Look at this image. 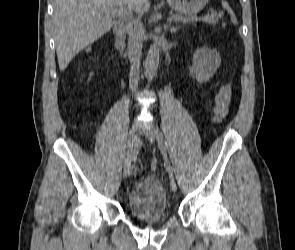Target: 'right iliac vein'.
Listing matches in <instances>:
<instances>
[{
    "mask_svg": "<svg viewBox=\"0 0 295 250\" xmlns=\"http://www.w3.org/2000/svg\"><path fill=\"white\" fill-rule=\"evenodd\" d=\"M136 129H137V124L134 123L133 126H132V129H131V131H130V133L128 135L127 156H126V158L129 157L133 153L134 143H135V141L137 139V135L135 133ZM124 175L126 177L131 175V169L125 164H124Z\"/></svg>",
    "mask_w": 295,
    "mask_h": 250,
    "instance_id": "63e3f726",
    "label": "right iliac vein"
}]
</instances>
